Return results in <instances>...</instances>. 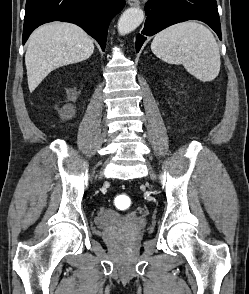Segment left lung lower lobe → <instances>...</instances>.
Here are the masks:
<instances>
[{
  "label": "left lung lower lobe",
  "mask_w": 249,
  "mask_h": 294,
  "mask_svg": "<svg viewBox=\"0 0 249 294\" xmlns=\"http://www.w3.org/2000/svg\"><path fill=\"white\" fill-rule=\"evenodd\" d=\"M147 19L136 39V52L146 40L164 28L187 20H200L208 24L220 40L221 27L216 0H149L145 6Z\"/></svg>",
  "instance_id": "obj_1"
}]
</instances>
